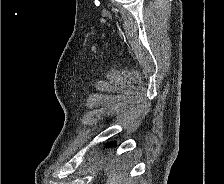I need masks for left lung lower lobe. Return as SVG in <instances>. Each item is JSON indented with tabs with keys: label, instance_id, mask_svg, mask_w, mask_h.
<instances>
[{
	"label": "left lung lower lobe",
	"instance_id": "obj_1",
	"mask_svg": "<svg viewBox=\"0 0 224 184\" xmlns=\"http://www.w3.org/2000/svg\"><path fill=\"white\" fill-rule=\"evenodd\" d=\"M110 145L109 144H107V147H109ZM112 146H115V143H112Z\"/></svg>",
	"mask_w": 224,
	"mask_h": 184
}]
</instances>
